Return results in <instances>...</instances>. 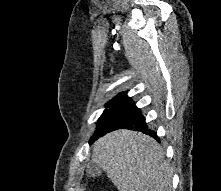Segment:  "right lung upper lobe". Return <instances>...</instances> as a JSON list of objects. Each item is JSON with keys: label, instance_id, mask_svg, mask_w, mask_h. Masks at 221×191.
<instances>
[{"label": "right lung upper lobe", "instance_id": "obj_1", "mask_svg": "<svg viewBox=\"0 0 221 191\" xmlns=\"http://www.w3.org/2000/svg\"><path fill=\"white\" fill-rule=\"evenodd\" d=\"M126 93H120L119 95H117L116 97H114L111 101H120L123 97H125ZM110 101V102H111Z\"/></svg>", "mask_w": 221, "mask_h": 191}]
</instances>
